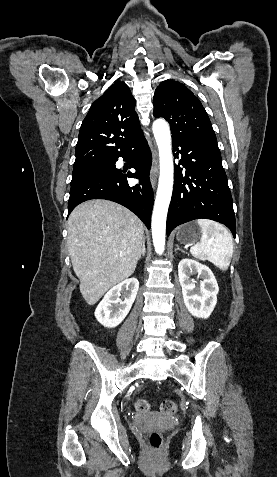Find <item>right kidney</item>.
<instances>
[{"label": "right kidney", "mask_w": 277, "mask_h": 477, "mask_svg": "<svg viewBox=\"0 0 277 477\" xmlns=\"http://www.w3.org/2000/svg\"><path fill=\"white\" fill-rule=\"evenodd\" d=\"M139 289L136 278L126 279L112 287L95 310V317L104 327L118 326L129 313Z\"/></svg>", "instance_id": "right-kidney-1"}]
</instances>
